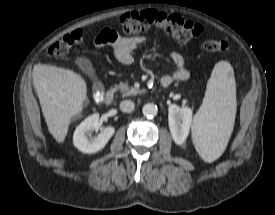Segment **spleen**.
<instances>
[{"label":"spleen","mask_w":275,"mask_h":215,"mask_svg":"<svg viewBox=\"0 0 275 215\" xmlns=\"http://www.w3.org/2000/svg\"><path fill=\"white\" fill-rule=\"evenodd\" d=\"M234 71L227 61L215 64L203 103L192 123L194 146L205 162H213L224 152L236 115Z\"/></svg>","instance_id":"obj_1"}]
</instances>
